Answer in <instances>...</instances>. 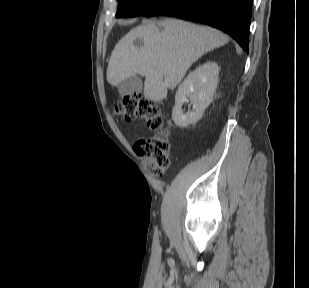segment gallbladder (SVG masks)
Listing matches in <instances>:
<instances>
[{"label": "gallbladder", "instance_id": "obj_1", "mask_svg": "<svg viewBox=\"0 0 309 288\" xmlns=\"http://www.w3.org/2000/svg\"><path fill=\"white\" fill-rule=\"evenodd\" d=\"M118 92L121 96L131 95L134 92L140 93L143 89L142 80L137 76L124 79L117 85Z\"/></svg>", "mask_w": 309, "mask_h": 288}]
</instances>
